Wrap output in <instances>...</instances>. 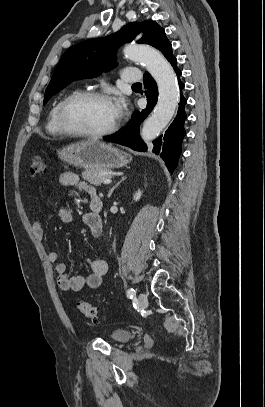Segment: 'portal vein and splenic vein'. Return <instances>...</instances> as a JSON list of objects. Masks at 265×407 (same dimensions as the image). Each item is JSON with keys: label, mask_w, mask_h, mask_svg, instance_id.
<instances>
[{"label": "portal vein and splenic vein", "mask_w": 265, "mask_h": 407, "mask_svg": "<svg viewBox=\"0 0 265 407\" xmlns=\"http://www.w3.org/2000/svg\"><path fill=\"white\" fill-rule=\"evenodd\" d=\"M102 182H103L104 184H110V183H111V179L107 178V179H104Z\"/></svg>", "instance_id": "1"}]
</instances>
